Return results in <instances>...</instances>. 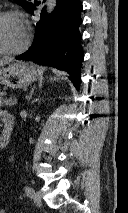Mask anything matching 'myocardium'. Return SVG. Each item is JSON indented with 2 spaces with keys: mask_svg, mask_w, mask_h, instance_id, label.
I'll list each match as a JSON object with an SVG mask.
<instances>
[{
  "mask_svg": "<svg viewBox=\"0 0 128 213\" xmlns=\"http://www.w3.org/2000/svg\"><path fill=\"white\" fill-rule=\"evenodd\" d=\"M9 17L17 18L22 21L21 15L17 11H14V10L0 11V21L4 18H9ZM24 27H25L24 42L18 48H15V49H4L0 47V55H16V54L22 53L28 48L30 44L31 36H30L29 28L26 25H24Z\"/></svg>",
  "mask_w": 128,
  "mask_h": 213,
  "instance_id": "1",
  "label": "myocardium"
}]
</instances>
